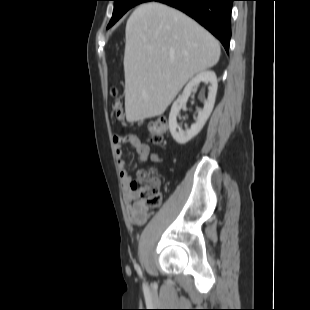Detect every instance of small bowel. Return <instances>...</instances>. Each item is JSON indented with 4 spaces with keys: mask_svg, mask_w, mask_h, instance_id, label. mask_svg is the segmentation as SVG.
<instances>
[{
    "mask_svg": "<svg viewBox=\"0 0 310 310\" xmlns=\"http://www.w3.org/2000/svg\"><path fill=\"white\" fill-rule=\"evenodd\" d=\"M126 143L135 148L138 154V158L141 162L150 160L155 163H160L162 159L158 154L153 153L150 147L147 144L142 143L140 139L134 134H128L124 136L114 135L113 137L115 155L118 166L120 167V180L123 192V201L126 205L127 215L133 224L143 225L150 217L151 211L145 208L143 204L138 201L137 194L130 188L132 178L128 171L125 169L126 162L123 156V145Z\"/></svg>",
    "mask_w": 310,
    "mask_h": 310,
    "instance_id": "small-bowel-1",
    "label": "small bowel"
}]
</instances>
